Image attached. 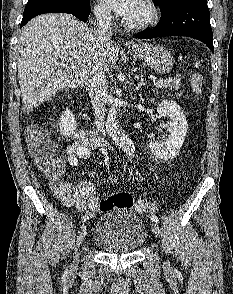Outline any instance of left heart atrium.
<instances>
[{"label": "left heart atrium", "instance_id": "39dd6f15", "mask_svg": "<svg viewBox=\"0 0 233 294\" xmlns=\"http://www.w3.org/2000/svg\"><path fill=\"white\" fill-rule=\"evenodd\" d=\"M111 6L120 16L130 20L140 9L143 0H103Z\"/></svg>", "mask_w": 233, "mask_h": 294}]
</instances>
